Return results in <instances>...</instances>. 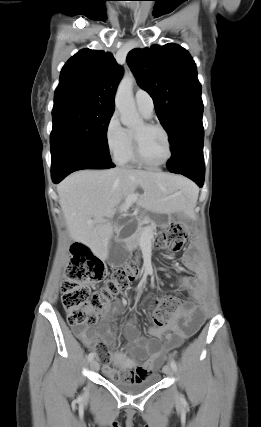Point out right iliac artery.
Instances as JSON below:
<instances>
[{"mask_svg": "<svg viewBox=\"0 0 261 427\" xmlns=\"http://www.w3.org/2000/svg\"><path fill=\"white\" fill-rule=\"evenodd\" d=\"M94 355H95V354H94V353H92V352H91V353H89V355H88V361H89V362H91V361L93 360Z\"/></svg>", "mask_w": 261, "mask_h": 427, "instance_id": "right-iliac-artery-1", "label": "right iliac artery"}]
</instances>
